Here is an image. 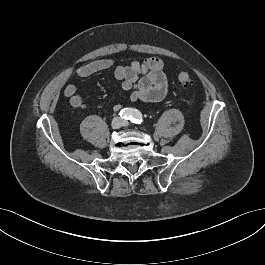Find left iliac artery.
Here are the masks:
<instances>
[{
  "mask_svg": "<svg viewBox=\"0 0 265 265\" xmlns=\"http://www.w3.org/2000/svg\"><path fill=\"white\" fill-rule=\"evenodd\" d=\"M132 123L141 124L143 122L142 114L138 110H134L132 116L129 118Z\"/></svg>",
  "mask_w": 265,
  "mask_h": 265,
  "instance_id": "44dca946",
  "label": "left iliac artery"
}]
</instances>
